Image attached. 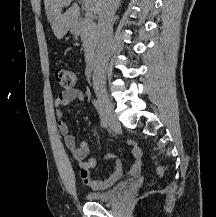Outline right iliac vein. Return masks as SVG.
I'll return each instance as SVG.
<instances>
[{
    "mask_svg": "<svg viewBox=\"0 0 216 217\" xmlns=\"http://www.w3.org/2000/svg\"><path fill=\"white\" fill-rule=\"evenodd\" d=\"M96 95L103 107L109 127L114 131H118L120 129V124L114 113V106L110 98L108 97L106 91L102 88H98L96 89Z\"/></svg>",
    "mask_w": 216,
    "mask_h": 217,
    "instance_id": "63e3f726",
    "label": "right iliac vein"
}]
</instances>
